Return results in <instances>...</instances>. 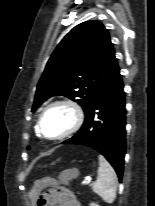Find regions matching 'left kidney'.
Wrapping results in <instances>:
<instances>
[{"instance_id": "left-kidney-1", "label": "left kidney", "mask_w": 155, "mask_h": 206, "mask_svg": "<svg viewBox=\"0 0 155 206\" xmlns=\"http://www.w3.org/2000/svg\"><path fill=\"white\" fill-rule=\"evenodd\" d=\"M90 206H99V205L96 203H91Z\"/></svg>"}]
</instances>
